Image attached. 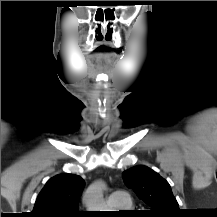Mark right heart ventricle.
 I'll use <instances>...</instances> for the list:
<instances>
[{
  "label": "right heart ventricle",
  "instance_id": "1",
  "mask_svg": "<svg viewBox=\"0 0 217 217\" xmlns=\"http://www.w3.org/2000/svg\"><path fill=\"white\" fill-rule=\"evenodd\" d=\"M132 202L129 204V205H127V206H124L122 209H128V208H130V207H132Z\"/></svg>",
  "mask_w": 217,
  "mask_h": 217
}]
</instances>
